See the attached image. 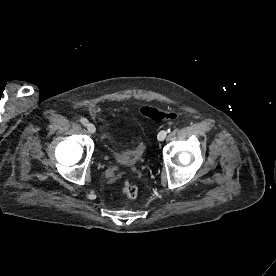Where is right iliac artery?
I'll return each instance as SVG.
<instances>
[{"instance_id": "1", "label": "right iliac artery", "mask_w": 276, "mask_h": 276, "mask_svg": "<svg viewBox=\"0 0 276 276\" xmlns=\"http://www.w3.org/2000/svg\"><path fill=\"white\" fill-rule=\"evenodd\" d=\"M80 121H81V124H82V125L87 126V124H88L87 119L82 118Z\"/></svg>"}]
</instances>
